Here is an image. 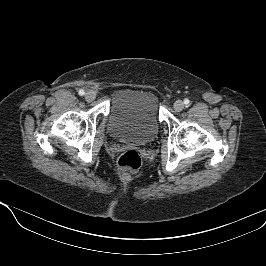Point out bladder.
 Returning a JSON list of instances; mask_svg holds the SVG:
<instances>
[{"instance_id": "obj_1", "label": "bladder", "mask_w": 266, "mask_h": 266, "mask_svg": "<svg viewBox=\"0 0 266 266\" xmlns=\"http://www.w3.org/2000/svg\"><path fill=\"white\" fill-rule=\"evenodd\" d=\"M159 98L147 89H121L111 101L108 131L121 142L147 144L159 131Z\"/></svg>"}]
</instances>
